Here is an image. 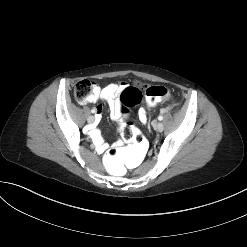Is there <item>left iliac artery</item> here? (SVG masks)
Segmentation results:
<instances>
[{"label":"left iliac artery","instance_id":"left-iliac-artery-1","mask_svg":"<svg viewBox=\"0 0 247 247\" xmlns=\"http://www.w3.org/2000/svg\"><path fill=\"white\" fill-rule=\"evenodd\" d=\"M158 120H159V121H162V120H163V116L160 115V116L158 117Z\"/></svg>","mask_w":247,"mask_h":247}]
</instances>
